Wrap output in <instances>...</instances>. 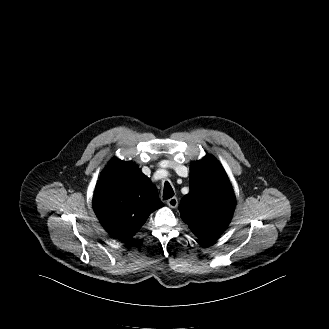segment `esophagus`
Returning <instances> with one entry per match:
<instances>
[{"label": "esophagus", "instance_id": "34e87169", "mask_svg": "<svg viewBox=\"0 0 329 329\" xmlns=\"http://www.w3.org/2000/svg\"><path fill=\"white\" fill-rule=\"evenodd\" d=\"M167 205L170 208H176L178 206V199L176 197H172L169 200H167Z\"/></svg>", "mask_w": 329, "mask_h": 329}]
</instances>
